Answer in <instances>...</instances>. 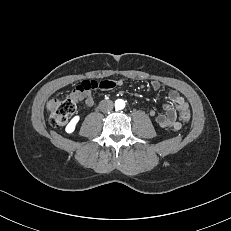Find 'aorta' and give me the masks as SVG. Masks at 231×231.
<instances>
[{
    "mask_svg": "<svg viewBox=\"0 0 231 231\" xmlns=\"http://www.w3.org/2000/svg\"><path fill=\"white\" fill-rule=\"evenodd\" d=\"M124 107H125V102H124V100H122V99H117V100L115 101V108H116V109L121 110V109H123Z\"/></svg>",
    "mask_w": 231,
    "mask_h": 231,
    "instance_id": "1",
    "label": "aorta"
}]
</instances>
